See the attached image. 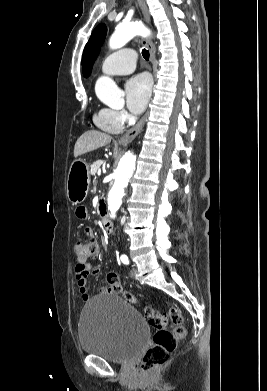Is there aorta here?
<instances>
[{
  "mask_svg": "<svg viewBox=\"0 0 267 391\" xmlns=\"http://www.w3.org/2000/svg\"><path fill=\"white\" fill-rule=\"evenodd\" d=\"M150 31L141 22H129L119 24L109 39V48L116 50L123 47L133 37L147 36ZM95 92L99 100L109 106L123 104V92L116 83L109 77H101L95 85ZM136 157L131 152L125 153L119 160L115 170L114 183L108 193V209L111 217H115L116 212L122 205L123 196L128 186L131 175L135 169Z\"/></svg>",
  "mask_w": 267,
  "mask_h": 391,
  "instance_id": "1",
  "label": "aorta"
}]
</instances>
